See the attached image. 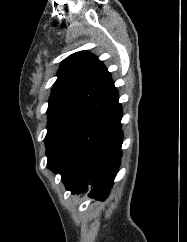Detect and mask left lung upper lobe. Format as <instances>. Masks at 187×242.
<instances>
[{"label":"left lung upper lobe","instance_id":"1","mask_svg":"<svg viewBox=\"0 0 187 242\" xmlns=\"http://www.w3.org/2000/svg\"><path fill=\"white\" fill-rule=\"evenodd\" d=\"M48 105L45 137L48 167L55 171L78 139L118 103L111 73L87 51L64 59Z\"/></svg>","mask_w":187,"mask_h":242}]
</instances>
